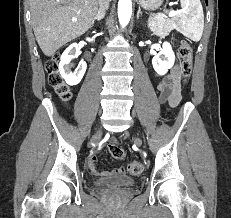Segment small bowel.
<instances>
[{
    "label": "small bowel",
    "instance_id": "obj_1",
    "mask_svg": "<svg viewBox=\"0 0 231 218\" xmlns=\"http://www.w3.org/2000/svg\"><path fill=\"white\" fill-rule=\"evenodd\" d=\"M160 93V101L169 107H176L181 100V70L175 65L170 73L162 78L157 84ZM97 156L91 155L88 159V166L92 174L96 176H119L124 173V168L119 167L109 171H101L97 168Z\"/></svg>",
    "mask_w": 231,
    "mask_h": 218
}]
</instances>
